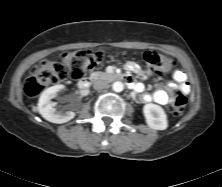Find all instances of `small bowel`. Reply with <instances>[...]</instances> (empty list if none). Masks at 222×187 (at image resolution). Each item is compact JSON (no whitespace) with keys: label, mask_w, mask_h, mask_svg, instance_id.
I'll return each mask as SVG.
<instances>
[{"label":"small bowel","mask_w":222,"mask_h":187,"mask_svg":"<svg viewBox=\"0 0 222 187\" xmlns=\"http://www.w3.org/2000/svg\"><path fill=\"white\" fill-rule=\"evenodd\" d=\"M127 69L132 72L139 74L141 73V70L138 65L134 63H129L127 65ZM174 78L177 81L176 87L183 93H188L190 90V85L186 79V75L183 71L177 70L174 74ZM143 86L141 84L136 85V90L141 91ZM142 100L145 102L154 101L156 103H159L161 105L168 104L171 102L172 97L166 92L165 90L161 88H157L154 90L151 94H143Z\"/></svg>","instance_id":"1"}]
</instances>
